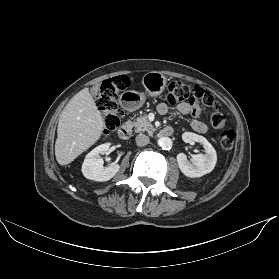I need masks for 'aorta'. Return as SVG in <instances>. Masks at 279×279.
<instances>
[{
	"instance_id": "1",
	"label": "aorta",
	"mask_w": 279,
	"mask_h": 279,
	"mask_svg": "<svg viewBox=\"0 0 279 279\" xmlns=\"http://www.w3.org/2000/svg\"><path fill=\"white\" fill-rule=\"evenodd\" d=\"M158 145L164 150L171 149L172 140L168 137H161L158 139Z\"/></svg>"
}]
</instances>
